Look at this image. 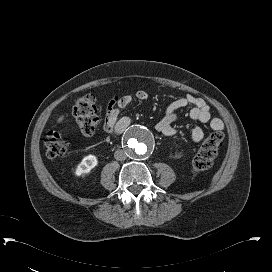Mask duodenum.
<instances>
[{"label": "duodenum", "mask_w": 272, "mask_h": 272, "mask_svg": "<svg viewBox=\"0 0 272 272\" xmlns=\"http://www.w3.org/2000/svg\"><path fill=\"white\" fill-rule=\"evenodd\" d=\"M125 127V124L124 123H117V125L115 126L114 128V131L116 133H119L122 131V129Z\"/></svg>", "instance_id": "duodenum-1"}]
</instances>
